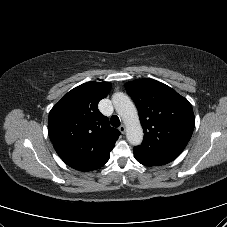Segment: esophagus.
I'll return each mask as SVG.
<instances>
[{"instance_id": "34e87169", "label": "esophagus", "mask_w": 227, "mask_h": 227, "mask_svg": "<svg viewBox=\"0 0 227 227\" xmlns=\"http://www.w3.org/2000/svg\"><path fill=\"white\" fill-rule=\"evenodd\" d=\"M119 131H120L122 134H124L125 131H126V126H125V125H121V126L119 127Z\"/></svg>"}]
</instances>
